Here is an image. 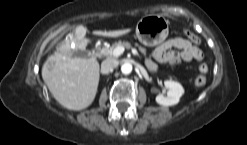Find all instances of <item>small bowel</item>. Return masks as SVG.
<instances>
[{
  "instance_id": "small-bowel-1",
  "label": "small bowel",
  "mask_w": 247,
  "mask_h": 145,
  "mask_svg": "<svg viewBox=\"0 0 247 145\" xmlns=\"http://www.w3.org/2000/svg\"><path fill=\"white\" fill-rule=\"evenodd\" d=\"M194 39L182 37L170 38L155 48L152 55L160 63L177 64L181 61H202L203 51L199 48L200 39L194 35ZM147 67L155 70L156 65L151 60H147Z\"/></svg>"
}]
</instances>
